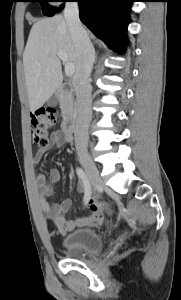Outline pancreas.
<instances>
[{
  "label": "pancreas",
  "mask_w": 181,
  "mask_h": 300,
  "mask_svg": "<svg viewBox=\"0 0 181 300\" xmlns=\"http://www.w3.org/2000/svg\"><path fill=\"white\" fill-rule=\"evenodd\" d=\"M60 108L63 115L72 114L74 111V100L70 92H64L60 97Z\"/></svg>",
  "instance_id": "pancreas-1"
}]
</instances>
